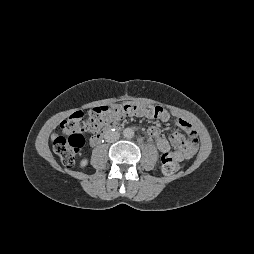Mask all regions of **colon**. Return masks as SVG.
<instances>
[{
	"label": "colon",
	"instance_id": "5ec220e1",
	"mask_svg": "<svg viewBox=\"0 0 254 254\" xmlns=\"http://www.w3.org/2000/svg\"><path fill=\"white\" fill-rule=\"evenodd\" d=\"M162 108L150 105H102L92 108L87 117L82 112H76L61 123V134L58 135L53 147L66 166H72L84 145L86 132H98L114 125L118 120L127 116H145L157 118ZM180 169V165L171 156L162 157L161 170L170 176Z\"/></svg>",
	"mask_w": 254,
	"mask_h": 254
}]
</instances>
